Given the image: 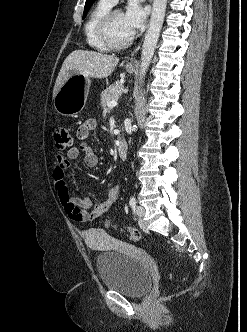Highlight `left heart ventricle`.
<instances>
[{
	"mask_svg": "<svg viewBox=\"0 0 247 332\" xmlns=\"http://www.w3.org/2000/svg\"><path fill=\"white\" fill-rule=\"evenodd\" d=\"M111 36L116 42L124 41L128 38L132 31L126 26L123 13L117 11L114 13L111 21Z\"/></svg>",
	"mask_w": 247,
	"mask_h": 332,
	"instance_id": "1",
	"label": "left heart ventricle"
}]
</instances>
